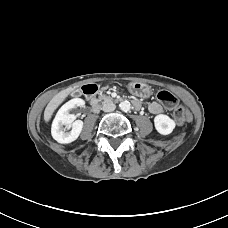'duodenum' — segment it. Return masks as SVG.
<instances>
[{
  "label": "duodenum",
  "mask_w": 228,
  "mask_h": 228,
  "mask_svg": "<svg viewBox=\"0 0 228 228\" xmlns=\"http://www.w3.org/2000/svg\"><path fill=\"white\" fill-rule=\"evenodd\" d=\"M82 91L87 100H89L93 110H98L100 102L99 99L96 97V94L98 92L97 86L94 84L85 85L83 86Z\"/></svg>",
  "instance_id": "1"
}]
</instances>
